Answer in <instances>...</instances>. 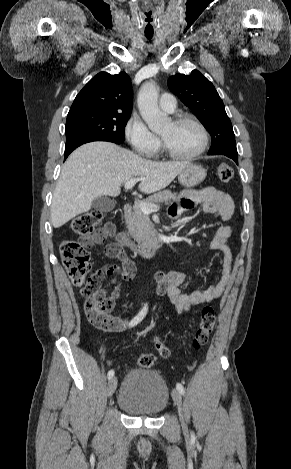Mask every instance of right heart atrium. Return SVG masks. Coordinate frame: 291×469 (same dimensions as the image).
<instances>
[{
  "label": "right heart atrium",
  "mask_w": 291,
  "mask_h": 469,
  "mask_svg": "<svg viewBox=\"0 0 291 469\" xmlns=\"http://www.w3.org/2000/svg\"><path fill=\"white\" fill-rule=\"evenodd\" d=\"M124 132L131 147L142 156H152L159 148L158 137L137 115L130 117Z\"/></svg>",
  "instance_id": "right-heart-atrium-1"
}]
</instances>
